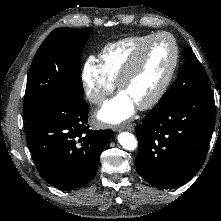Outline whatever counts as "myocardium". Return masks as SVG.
Listing matches in <instances>:
<instances>
[{"mask_svg":"<svg viewBox=\"0 0 221 221\" xmlns=\"http://www.w3.org/2000/svg\"><path fill=\"white\" fill-rule=\"evenodd\" d=\"M161 37H167L171 40L173 45V58L170 65V68L168 70L167 75L165 76L163 82L159 86V88L155 91V93L144 103L138 105V109L140 110H148L153 108L155 105H157L160 100L163 98L165 93L167 92L173 77L175 75L178 61H179V47L177 44L176 39L174 36L168 32H158L156 34H153L150 38H148L143 44L139 46V48L135 51V53L132 55L128 63L126 64L125 68L123 69L122 73L120 74L118 80H117V88L119 91H122V88L124 85L132 78L134 75L138 72L140 69L144 54L147 50V48L157 39Z\"/></svg>","mask_w":221,"mask_h":221,"instance_id":"f54148a6","label":"myocardium"}]
</instances>
